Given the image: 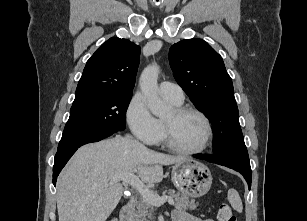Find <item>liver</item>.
Segmentation results:
<instances>
[{
  "instance_id": "liver-1",
  "label": "liver",
  "mask_w": 307,
  "mask_h": 221,
  "mask_svg": "<svg viewBox=\"0 0 307 221\" xmlns=\"http://www.w3.org/2000/svg\"><path fill=\"white\" fill-rule=\"evenodd\" d=\"M185 160L121 136L84 145L57 181L59 221H105L123 192L122 184L113 181L116 176L137 173L143 183L154 184L163 179V165Z\"/></svg>"
}]
</instances>
